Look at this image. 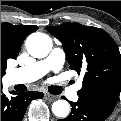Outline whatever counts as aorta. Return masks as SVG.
Segmentation results:
<instances>
[{"mask_svg":"<svg viewBox=\"0 0 121 121\" xmlns=\"http://www.w3.org/2000/svg\"><path fill=\"white\" fill-rule=\"evenodd\" d=\"M26 49L31 56L44 58L52 49V40L44 33H32L26 40ZM69 110V104L65 100H57L52 105V112L57 117H67Z\"/></svg>","mask_w":121,"mask_h":121,"instance_id":"1","label":"aorta"}]
</instances>
